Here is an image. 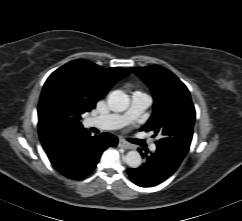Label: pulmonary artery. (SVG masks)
Instances as JSON below:
<instances>
[{"label":"pulmonary artery","mask_w":242,"mask_h":221,"mask_svg":"<svg viewBox=\"0 0 242 221\" xmlns=\"http://www.w3.org/2000/svg\"><path fill=\"white\" fill-rule=\"evenodd\" d=\"M152 102L151 97L143 92H134L131 95L130 105L128 109L120 114H109L105 116H98L91 119L93 127L103 130L119 129L133 121L147 109ZM151 151L156 149L155 144H151Z\"/></svg>","instance_id":"1"}]
</instances>
